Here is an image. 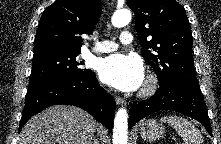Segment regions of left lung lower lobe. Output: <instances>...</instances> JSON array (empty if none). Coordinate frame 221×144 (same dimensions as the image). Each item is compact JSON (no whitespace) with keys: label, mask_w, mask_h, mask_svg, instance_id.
Here are the masks:
<instances>
[{"label":"left lung lower lobe","mask_w":221,"mask_h":144,"mask_svg":"<svg viewBox=\"0 0 221 144\" xmlns=\"http://www.w3.org/2000/svg\"><path fill=\"white\" fill-rule=\"evenodd\" d=\"M161 110L176 111L198 120L212 136L208 111L199 85L182 81L160 85L155 95L133 104L129 112V128L148 115Z\"/></svg>","instance_id":"left-lung-lower-lobe-1"}]
</instances>
